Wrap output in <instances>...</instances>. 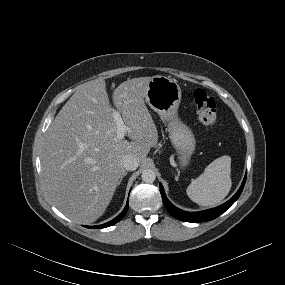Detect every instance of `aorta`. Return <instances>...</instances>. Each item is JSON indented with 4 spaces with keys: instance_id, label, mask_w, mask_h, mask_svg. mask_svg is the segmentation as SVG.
Here are the masks:
<instances>
[{
    "instance_id": "1",
    "label": "aorta",
    "mask_w": 285,
    "mask_h": 285,
    "mask_svg": "<svg viewBox=\"0 0 285 285\" xmlns=\"http://www.w3.org/2000/svg\"><path fill=\"white\" fill-rule=\"evenodd\" d=\"M141 178L145 183H153L156 179V173L152 169H145L141 174Z\"/></svg>"
}]
</instances>
